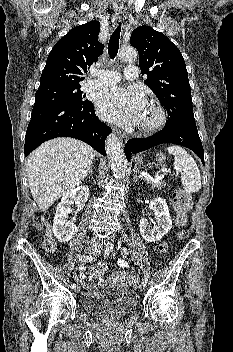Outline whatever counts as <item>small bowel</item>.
Returning a JSON list of instances; mask_svg holds the SVG:
<instances>
[{
  "instance_id": "1",
  "label": "small bowel",
  "mask_w": 233,
  "mask_h": 352,
  "mask_svg": "<svg viewBox=\"0 0 233 352\" xmlns=\"http://www.w3.org/2000/svg\"><path fill=\"white\" fill-rule=\"evenodd\" d=\"M119 263H120V266L123 267V268L128 267V264H127V262L125 260H120ZM84 269H85L84 265H80L79 266V273L76 276L77 281L80 284H82V285H85V281H86V276L84 274Z\"/></svg>"
}]
</instances>
